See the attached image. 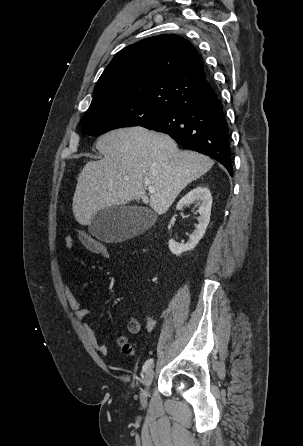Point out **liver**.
Returning <instances> with one entry per match:
<instances>
[{"label":"liver","instance_id":"6515ba94","mask_svg":"<svg viewBox=\"0 0 303 446\" xmlns=\"http://www.w3.org/2000/svg\"><path fill=\"white\" fill-rule=\"evenodd\" d=\"M96 149L104 158L86 163L73 196V214L81 225L91 224L98 211L132 200H142L158 215L164 214L189 183L214 165L205 155L179 150L168 135L140 126L100 136ZM146 179L155 189L150 196Z\"/></svg>","mask_w":303,"mask_h":446}]
</instances>
